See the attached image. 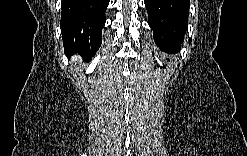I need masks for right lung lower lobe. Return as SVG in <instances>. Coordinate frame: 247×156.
<instances>
[{
    "mask_svg": "<svg viewBox=\"0 0 247 156\" xmlns=\"http://www.w3.org/2000/svg\"><path fill=\"white\" fill-rule=\"evenodd\" d=\"M109 0H62L61 32L67 56L92 58L102 42Z\"/></svg>",
    "mask_w": 247,
    "mask_h": 156,
    "instance_id": "98d812e1",
    "label": "right lung lower lobe"
}]
</instances>
